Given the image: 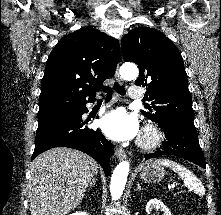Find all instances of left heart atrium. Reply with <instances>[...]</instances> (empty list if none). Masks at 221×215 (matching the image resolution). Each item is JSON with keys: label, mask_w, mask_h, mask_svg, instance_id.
Here are the masks:
<instances>
[{"label": "left heart atrium", "mask_w": 221, "mask_h": 215, "mask_svg": "<svg viewBox=\"0 0 221 215\" xmlns=\"http://www.w3.org/2000/svg\"><path fill=\"white\" fill-rule=\"evenodd\" d=\"M100 127L108 137L117 141L130 140L138 134L139 130L136 117L122 108L103 116L100 120Z\"/></svg>", "instance_id": "left-heart-atrium-1"}]
</instances>
